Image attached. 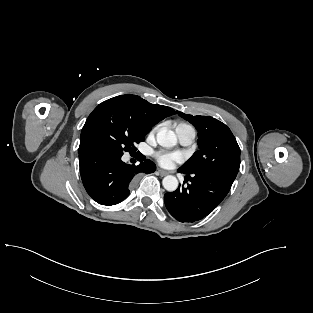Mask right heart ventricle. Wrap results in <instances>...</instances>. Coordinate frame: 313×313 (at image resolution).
<instances>
[{"label":"right heart ventricle","mask_w":313,"mask_h":313,"mask_svg":"<svg viewBox=\"0 0 313 313\" xmlns=\"http://www.w3.org/2000/svg\"><path fill=\"white\" fill-rule=\"evenodd\" d=\"M181 129H189V130H193L194 131V128L190 125V124H187V123H179L177 126H176V132L178 130H181ZM195 132V131H194Z\"/></svg>","instance_id":"right-heart-ventricle-1"}]
</instances>
